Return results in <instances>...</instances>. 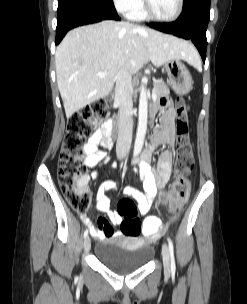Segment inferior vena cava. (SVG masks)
I'll return each mask as SVG.
<instances>
[{
  "label": "inferior vena cava",
  "instance_id": "602c4592",
  "mask_svg": "<svg viewBox=\"0 0 247 304\" xmlns=\"http://www.w3.org/2000/svg\"><path fill=\"white\" fill-rule=\"evenodd\" d=\"M132 93L131 73L122 67L116 76L115 101L119 105V124L116 154L119 159L124 158L130 150L132 141Z\"/></svg>",
  "mask_w": 247,
  "mask_h": 304
}]
</instances>
